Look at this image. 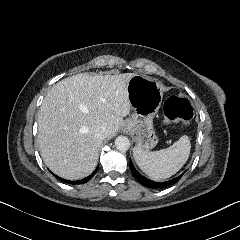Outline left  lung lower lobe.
<instances>
[{"label": "left lung lower lobe", "instance_id": "1", "mask_svg": "<svg viewBox=\"0 0 240 240\" xmlns=\"http://www.w3.org/2000/svg\"><path fill=\"white\" fill-rule=\"evenodd\" d=\"M130 169L132 171V174L133 176L145 187H148V188H164V187H167V186H170L174 183H176L181 177L183 174H181L179 177L175 178V179H172L170 181H167V182H154V181H151L147 178H145L144 176H142L141 174H139L133 164L130 163Z\"/></svg>", "mask_w": 240, "mask_h": 240}]
</instances>
